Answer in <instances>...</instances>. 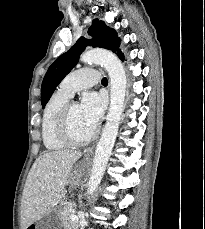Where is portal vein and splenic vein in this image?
<instances>
[{
    "label": "portal vein and splenic vein",
    "mask_w": 205,
    "mask_h": 229,
    "mask_svg": "<svg viewBox=\"0 0 205 229\" xmlns=\"http://www.w3.org/2000/svg\"><path fill=\"white\" fill-rule=\"evenodd\" d=\"M70 218H71V220H73V221H78V217H77L76 215H74V214H72V215L70 216Z\"/></svg>",
    "instance_id": "1"
}]
</instances>
